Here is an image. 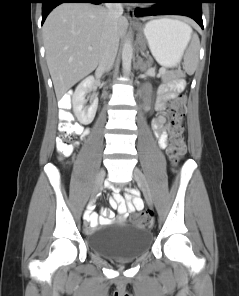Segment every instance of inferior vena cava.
<instances>
[{"label": "inferior vena cava", "instance_id": "inferior-vena-cava-1", "mask_svg": "<svg viewBox=\"0 0 239 296\" xmlns=\"http://www.w3.org/2000/svg\"><path fill=\"white\" fill-rule=\"evenodd\" d=\"M105 6L111 25L107 28L100 46L98 61V71L100 72L110 71L115 61L119 46V37L116 30L112 27V22L123 14L122 3H106Z\"/></svg>", "mask_w": 239, "mask_h": 296}]
</instances>
